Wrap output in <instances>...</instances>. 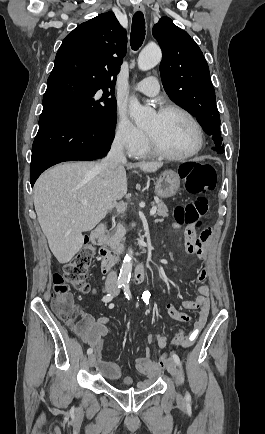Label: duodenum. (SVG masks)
I'll list each match as a JSON object with an SVG mask.
<instances>
[{
    "instance_id": "410a0bca",
    "label": "duodenum",
    "mask_w": 265,
    "mask_h": 434,
    "mask_svg": "<svg viewBox=\"0 0 265 434\" xmlns=\"http://www.w3.org/2000/svg\"><path fill=\"white\" fill-rule=\"evenodd\" d=\"M108 232V228L105 225H99L95 227L90 233V241L97 245H104V236ZM99 264L101 271L108 275L114 269L121 264L113 255L109 253V248L100 251ZM135 278L134 283H141L147 280L149 276V269L146 262H141L134 267Z\"/></svg>"
}]
</instances>
